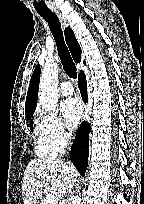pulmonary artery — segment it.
Listing matches in <instances>:
<instances>
[{
    "instance_id": "pulmonary-artery-1",
    "label": "pulmonary artery",
    "mask_w": 144,
    "mask_h": 204,
    "mask_svg": "<svg viewBox=\"0 0 144 204\" xmlns=\"http://www.w3.org/2000/svg\"><path fill=\"white\" fill-rule=\"evenodd\" d=\"M60 93L64 96H70L73 94V86L70 82L68 81H64L61 83L60 87H59Z\"/></svg>"
}]
</instances>
